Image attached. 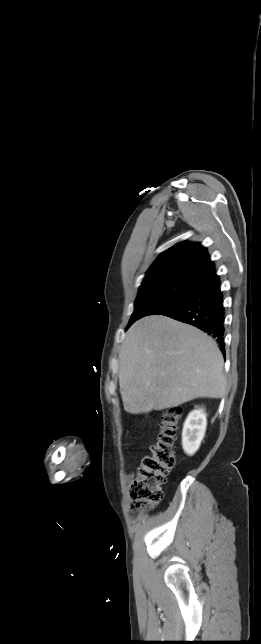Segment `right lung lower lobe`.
Listing matches in <instances>:
<instances>
[{
  "label": "right lung lower lobe",
  "instance_id": "98d812e1",
  "mask_svg": "<svg viewBox=\"0 0 261 644\" xmlns=\"http://www.w3.org/2000/svg\"><path fill=\"white\" fill-rule=\"evenodd\" d=\"M161 315L199 328L216 339L222 352L225 349L223 295L215 273L201 281L184 302Z\"/></svg>",
  "mask_w": 261,
  "mask_h": 644
}]
</instances>
